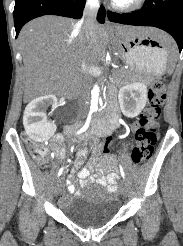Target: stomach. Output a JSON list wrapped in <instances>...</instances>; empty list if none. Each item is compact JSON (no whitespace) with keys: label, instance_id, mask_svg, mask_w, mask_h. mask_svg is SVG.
<instances>
[{"label":"stomach","instance_id":"obj_1","mask_svg":"<svg viewBox=\"0 0 183 246\" xmlns=\"http://www.w3.org/2000/svg\"><path fill=\"white\" fill-rule=\"evenodd\" d=\"M113 37L124 60L136 71L144 74H161L165 71L168 44L144 32L121 35L116 30Z\"/></svg>","mask_w":183,"mask_h":246}]
</instances>
